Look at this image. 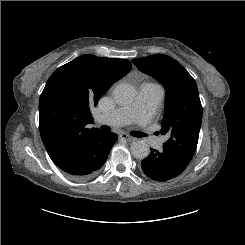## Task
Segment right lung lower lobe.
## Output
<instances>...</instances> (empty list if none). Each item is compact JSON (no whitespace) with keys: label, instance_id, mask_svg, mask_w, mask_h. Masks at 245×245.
Wrapping results in <instances>:
<instances>
[{"label":"right lung lower lobe","instance_id":"98d812e1","mask_svg":"<svg viewBox=\"0 0 245 245\" xmlns=\"http://www.w3.org/2000/svg\"><path fill=\"white\" fill-rule=\"evenodd\" d=\"M116 140V135L98 131L56 165L75 179L90 178L105 163Z\"/></svg>","mask_w":245,"mask_h":245}]
</instances>
